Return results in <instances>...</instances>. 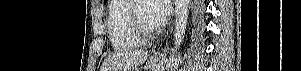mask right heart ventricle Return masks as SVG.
Returning <instances> with one entry per match:
<instances>
[{"instance_id": "e07e8e85", "label": "right heart ventricle", "mask_w": 301, "mask_h": 71, "mask_svg": "<svg viewBox=\"0 0 301 71\" xmlns=\"http://www.w3.org/2000/svg\"><path fill=\"white\" fill-rule=\"evenodd\" d=\"M129 0H114L108 9L107 29L111 45L115 49H132L143 44L133 32L129 18Z\"/></svg>"}]
</instances>
